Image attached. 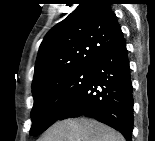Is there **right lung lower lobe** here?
Instances as JSON below:
<instances>
[{"label":"right lung lower lobe","mask_w":155,"mask_h":141,"mask_svg":"<svg viewBox=\"0 0 155 141\" xmlns=\"http://www.w3.org/2000/svg\"><path fill=\"white\" fill-rule=\"evenodd\" d=\"M133 87L123 34L101 55L79 96L59 120L93 117L131 140L133 130Z\"/></svg>","instance_id":"obj_1"}]
</instances>
